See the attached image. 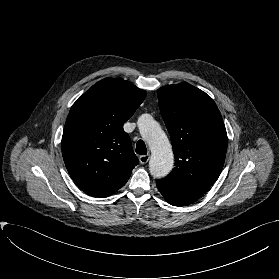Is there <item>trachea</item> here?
Segmentation results:
<instances>
[{
    "label": "trachea",
    "instance_id": "trachea-1",
    "mask_svg": "<svg viewBox=\"0 0 279 279\" xmlns=\"http://www.w3.org/2000/svg\"><path fill=\"white\" fill-rule=\"evenodd\" d=\"M136 153L140 154V155H145L147 154V148L146 145L144 143V141L139 140L136 144Z\"/></svg>",
    "mask_w": 279,
    "mask_h": 279
}]
</instances>
